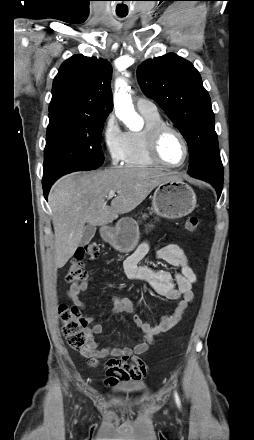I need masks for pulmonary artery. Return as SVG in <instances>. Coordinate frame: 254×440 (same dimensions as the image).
<instances>
[{
	"label": "pulmonary artery",
	"instance_id": "pulmonary-artery-1",
	"mask_svg": "<svg viewBox=\"0 0 254 440\" xmlns=\"http://www.w3.org/2000/svg\"><path fill=\"white\" fill-rule=\"evenodd\" d=\"M136 107L139 112L141 113H148V114H156L158 113L156 105L145 98H138L136 101Z\"/></svg>",
	"mask_w": 254,
	"mask_h": 440
}]
</instances>
